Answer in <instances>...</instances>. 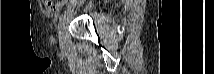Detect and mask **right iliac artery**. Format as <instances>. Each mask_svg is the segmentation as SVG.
Wrapping results in <instances>:
<instances>
[{"label": "right iliac artery", "instance_id": "82829eb1", "mask_svg": "<svg viewBox=\"0 0 214 74\" xmlns=\"http://www.w3.org/2000/svg\"><path fill=\"white\" fill-rule=\"evenodd\" d=\"M68 11H69V10L65 11L63 14L60 15V18H59V21H60V22L62 21V19L65 18L66 13H68Z\"/></svg>", "mask_w": 214, "mask_h": 74}]
</instances>
